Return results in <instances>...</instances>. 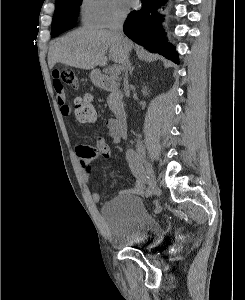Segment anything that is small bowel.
Masks as SVG:
<instances>
[{"instance_id":"small-bowel-1","label":"small bowel","mask_w":245,"mask_h":300,"mask_svg":"<svg viewBox=\"0 0 245 300\" xmlns=\"http://www.w3.org/2000/svg\"><path fill=\"white\" fill-rule=\"evenodd\" d=\"M53 89L56 94V101L60 107V113L63 117H69L71 114L70 107L66 104L65 100V94L63 90L62 82L53 74ZM106 128L108 135L112 139L114 143H119L122 138L125 137L126 132L123 131L118 124L116 119H109L106 122ZM76 152L80 159L83 162H88L96 157H104V158H110L111 157V151L109 146L105 143L103 139V135L101 133L97 134L96 136V146L95 147H89V146H82L79 145L76 147ZM144 185L143 183L136 179L134 187L124 191V193H131V194H137L140 195L143 193ZM101 199V196L99 193L95 192L92 194V200L94 202H99Z\"/></svg>"}]
</instances>
